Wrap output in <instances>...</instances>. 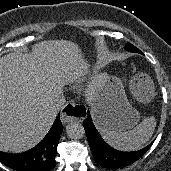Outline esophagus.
Masks as SVG:
<instances>
[{
	"mask_svg": "<svg viewBox=\"0 0 171 171\" xmlns=\"http://www.w3.org/2000/svg\"><path fill=\"white\" fill-rule=\"evenodd\" d=\"M65 110L66 112L62 113L61 115L62 122L67 123L77 119V117L75 116L76 108L74 102H68L66 104Z\"/></svg>",
	"mask_w": 171,
	"mask_h": 171,
	"instance_id": "1",
	"label": "esophagus"
}]
</instances>
